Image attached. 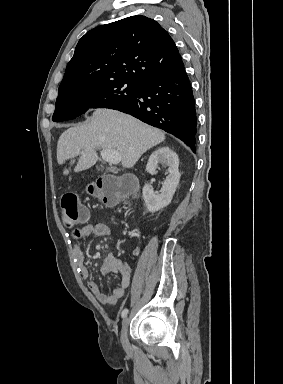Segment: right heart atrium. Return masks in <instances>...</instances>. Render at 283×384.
<instances>
[{
  "label": "right heart atrium",
  "mask_w": 283,
  "mask_h": 384,
  "mask_svg": "<svg viewBox=\"0 0 283 384\" xmlns=\"http://www.w3.org/2000/svg\"><path fill=\"white\" fill-rule=\"evenodd\" d=\"M91 96L93 97V96H94V94L92 93V94H91Z\"/></svg>",
  "instance_id": "obj_1"
}]
</instances>
